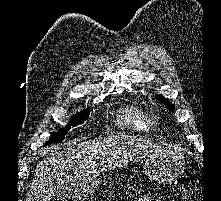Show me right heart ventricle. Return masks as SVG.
I'll list each match as a JSON object with an SVG mask.
<instances>
[{
  "instance_id": "obj_1",
  "label": "right heart ventricle",
  "mask_w": 221,
  "mask_h": 201,
  "mask_svg": "<svg viewBox=\"0 0 221 201\" xmlns=\"http://www.w3.org/2000/svg\"><path fill=\"white\" fill-rule=\"evenodd\" d=\"M118 124L137 131H149L156 126L157 122L152 114L134 106L122 110L118 118Z\"/></svg>"
}]
</instances>
